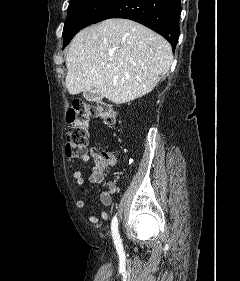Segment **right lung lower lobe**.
<instances>
[{"mask_svg":"<svg viewBox=\"0 0 240 281\" xmlns=\"http://www.w3.org/2000/svg\"><path fill=\"white\" fill-rule=\"evenodd\" d=\"M180 0H116L94 23L109 18H126L162 35L176 47L179 34Z\"/></svg>","mask_w":240,"mask_h":281,"instance_id":"98d812e1","label":"right lung lower lobe"}]
</instances>
